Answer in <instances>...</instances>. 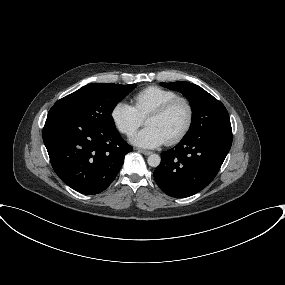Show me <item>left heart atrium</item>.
Returning <instances> with one entry per match:
<instances>
[{
  "mask_svg": "<svg viewBox=\"0 0 285 285\" xmlns=\"http://www.w3.org/2000/svg\"><path fill=\"white\" fill-rule=\"evenodd\" d=\"M166 141L163 134L153 126H146L130 137V142L143 148H156Z\"/></svg>",
  "mask_w": 285,
  "mask_h": 285,
  "instance_id": "1",
  "label": "left heart atrium"
}]
</instances>
